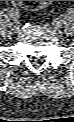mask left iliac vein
Returning a JSON list of instances; mask_svg holds the SVG:
<instances>
[{"label":"left iliac vein","instance_id":"4c4485c4","mask_svg":"<svg viewBox=\"0 0 74 122\" xmlns=\"http://www.w3.org/2000/svg\"><path fill=\"white\" fill-rule=\"evenodd\" d=\"M46 26H48L55 34H59L61 32V27L58 25V22L53 25L47 24Z\"/></svg>","mask_w":74,"mask_h":122}]
</instances>
